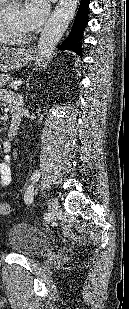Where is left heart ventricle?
Masks as SVG:
<instances>
[{
	"label": "left heart ventricle",
	"mask_w": 129,
	"mask_h": 309,
	"mask_svg": "<svg viewBox=\"0 0 129 309\" xmlns=\"http://www.w3.org/2000/svg\"><path fill=\"white\" fill-rule=\"evenodd\" d=\"M9 15L14 20L15 26L18 29H24L25 28V26L23 24V20L20 18V15H19V13L17 11L16 12H12Z\"/></svg>",
	"instance_id": "b2bd125f"
}]
</instances>
